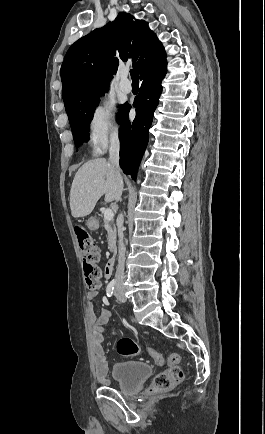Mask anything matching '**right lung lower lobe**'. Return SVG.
<instances>
[{
    "instance_id": "right-lung-lower-lobe-1",
    "label": "right lung lower lobe",
    "mask_w": 265,
    "mask_h": 434,
    "mask_svg": "<svg viewBox=\"0 0 265 434\" xmlns=\"http://www.w3.org/2000/svg\"><path fill=\"white\" fill-rule=\"evenodd\" d=\"M166 55L156 56L143 63L140 70L142 85L139 94L135 97L133 107L136 108V118L132 124L128 121V111L131 106L127 104L121 119V151L120 166L123 172L136 178L138 165L145 151L152 123L153 112L159 102L162 91L161 80L166 74Z\"/></svg>"
}]
</instances>
